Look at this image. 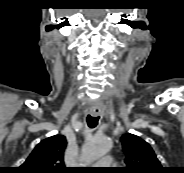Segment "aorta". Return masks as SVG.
I'll use <instances>...</instances> for the list:
<instances>
[{"mask_svg": "<svg viewBox=\"0 0 184 173\" xmlns=\"http://www.w3.org/2000/svg\"><path fill=\"white\" fill-rule=\"evenodd\" d=\"M111 146V140L107 137H90L83 146L81 159L85 164H91L108 153Z\"/></svg>", "mask_w": 184, "mask_h": 173, "instance_id": "obj_1", "label": "aorta"}]
</instances>
